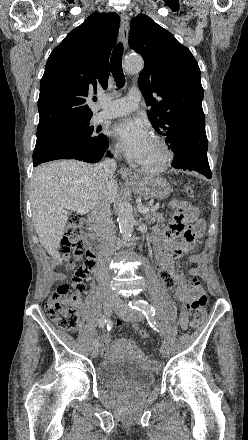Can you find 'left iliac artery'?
Segmentation results:
<instances>
[{
	"label": "left iliac artery",
	"mask_w": 248,
	"mask_h": 440,
	"mask_svg": "<svg viewBox=\"0 0 248 440\" xmlns=\"http://www.w3.org/2000/svg\"><path fill=\"white\" fill-rule=\"evenodd\" d=\"M129 306L133 309L141 311L146 316L147 320H149L153 323V325L151 324V326H153L155 330L157 329L156 325H155L156 323L154 321L155 315H156V310L147 301L136 300L133 303L129 302ZM163 344H164V342L162 343V345Z\"/></svg>",
	"instance_id": "left-iliac-artery-1"
}]
</instances>
